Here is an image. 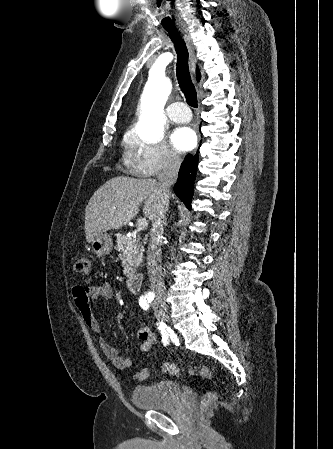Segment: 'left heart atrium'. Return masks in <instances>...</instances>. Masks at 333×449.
Instances as JSON below:
<instances>
[{
	"label": "left heart atrium",
	"mask_w": 333,
	"mask_h": 449,
	"mask_svg": "<svg viewBox=\"0 0 333 449\" xmlns=\"http://www.w3.org/2000/svg\"><path fill=\"white\" fill-rule=\"evenodd\" d=\"M171 143L180 152L190 150L196 144V134L189 127H178L171 135Z\"/></svg>",
	"instance_id": "obj_1"
}]
</instances>
